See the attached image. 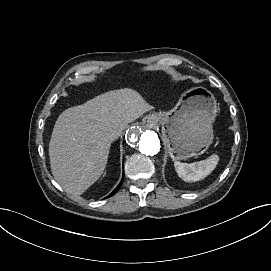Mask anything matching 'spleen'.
Here are the masks:
<instances>
[{
    "label": "spleen",
    "mask_w": 271,
    "mask_h": 271,
    "mask_svg": "<svg viewBox=\"0 0 271 271\" xmlns=\"http://www.w3.org/2000/svg\"><path fill=\"white\" fill-rule=\"evenodd\" d=\"M218 161V155L213 154L205 160L190 164L175 161L174 166L181 178L188 179V181H198L209 175L215 169Z\"/></svg>",
    "instance_id": "spleen-1"
}]
</instances>
